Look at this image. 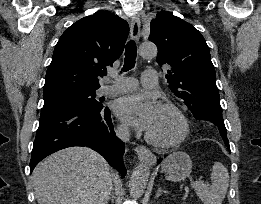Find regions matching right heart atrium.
Listing matches in <instances>:
<instances>
[{
	"label": "right heart atrium",
	"instance_id": "1",
	"mask_svg": "<svg viewBox=\"0 0 261 204\" xmlns=\"http://www.w3.org/2000/svg\"><path fill=\"white\" fill-rule=\"evenodd\" d=\"M117 132L121 136H127L129 131L126 125L120 124L117 128Z\"/></svg>",
	"mask_w": 261,
	"mask_h": 204
}]
</instances>
